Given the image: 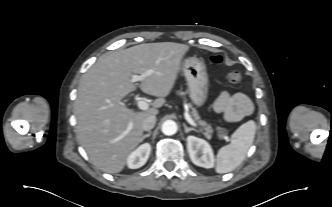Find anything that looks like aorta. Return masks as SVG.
<instances>
[{
    "instance_id": "1",
    "label": "aorta",
    "mask_w": 332,
    "mask_h": 207,
    "mask_svg": "<svg viewBox=\"0 0 332 207\" xmlns=\"http://www.w3.org/2000/svg\"><path fill=\"white\" fill-rule=\"evenodd\" d=\"M162 132L165 135H174L177 132V124L173 120H166L162 124Z\"/></svg>"
}]
</instances>
